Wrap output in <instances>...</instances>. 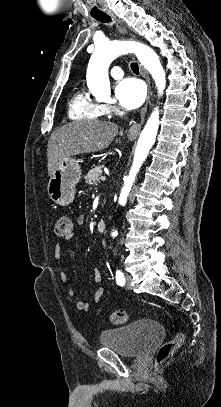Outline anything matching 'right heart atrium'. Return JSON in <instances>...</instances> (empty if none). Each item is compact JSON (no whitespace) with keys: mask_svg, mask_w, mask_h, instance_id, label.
Instances as JSON below:
<instances>
[{"mask_svg":"<svg viewBox=\"0 0 221 407\" xmlns=\"http://www.w3.org/2000/svg\"><path fill=\"white\" fill-rule=\"evenodd\" d=\"M100 106L103 109V111L107 114H115L118 111L114 105L101 104Z\"/></svg>","mask_w":221,"mask_h":407,"instance_id":"right-heart-atrium-1","label":"right heart atrium"}]
</instances>
